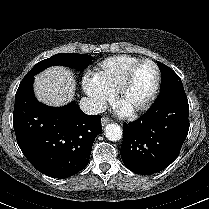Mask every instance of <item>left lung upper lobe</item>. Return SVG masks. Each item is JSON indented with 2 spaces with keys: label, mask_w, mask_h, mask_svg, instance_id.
I'll return each instance as SVG.
<instances>
[{
  "label": "left lung upper lobe",
  "mask_w": 209,
  "mask_h": 209,
  "mask_svg": "<svg viewBox=\"0 0 209 209\" xmlns=\"http://www.w3.org/2000/svg\"><path fill=\"white\" fill-rule=\"evenodd\" d=\"M158 67L161 72V89L160 93L168 90L170 88H179L183 87L182 81L180 77L169 67L162 64L161 62H157Z\"/></svg>",
  "instance_id": "left-lung-upper-lobe-1"
}]
</instances>
